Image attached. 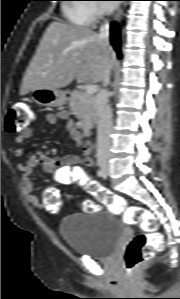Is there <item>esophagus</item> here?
<instances>
[{"instance_id": "1", "label": "esophagus", "mask_w": 180, "mask_h": 299, "mask_svg": "<svg viewBox=\"0 0 180 299\" xmlns=\"http://www.w3.org/2000/svg\"><path fill=\"white\" fill-rule=\"evenodd\" d=\"M123 12H124V5H121L114 16L115 22H119L121 20L123 16Z\"/></svg>"}]
</instances>
